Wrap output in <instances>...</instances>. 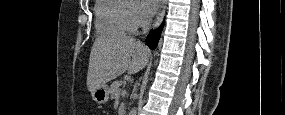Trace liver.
Instances as JSON below:
<instances>
[{
  "label": "liver",
  "instance_id": "obj_1",
  "mask_svg": "<svg viewBox=\"0 0 285 115\" xmlns=\"http://www.w3.org/2000/svg\"><path fill=\"white\" fill-rule=\"evenodd\" d=\"M148 49L134 38L117 35L98 37L91 49L87 73L90 92L117 78L125 71L135 74L145 68Z\"/></svg>",
  "mask_w": 285,
  "mask_h": 115
}]
</instances>
